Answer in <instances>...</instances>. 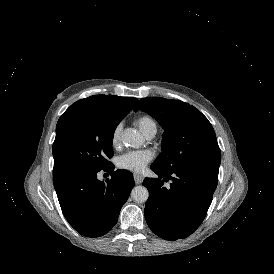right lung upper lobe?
<instances>
[{"label": "right lung upper lobe", "mask_w": 274, "mask_h": 274, "mask_svg": "<svg viewBox=\"0 0 274 274\" xmlns=\"http://www.w3.org/2000/svg\"><path fill=\"white\" fill-rule=\"evenodd\" d=\"M136 98L129 97H119L115 95H94L85 99H81L74 104H72L60 117L64 118L68 114L82 110V109H92V108H104V107H119L128 111H131L134 104L136 103ZM59 119V120H60Z\"/></svg>", "instance_id": "right-lung-upper-lobe-1"}]
</instances>
